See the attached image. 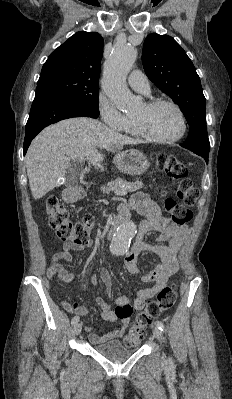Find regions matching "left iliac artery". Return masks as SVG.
Here are the masks:
<instances>
[{"label":"left iliac artery","instance_id":"obj_1","mask_svg":"<svg viewBox=\"0 0 232 399\" xmlns=\"http://www.w3.org/2000/svg\"><path fill=\"white\" fill-rule=\"evenodd\" d=\"M155 325H156V327H157L160 331L166 332V328H165V326H164V324H163L162 322L156 321V322H155Z\"/></svg>","mask_w":232,"mask_h":399}]
</instances>
